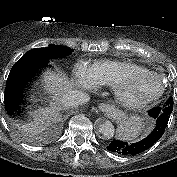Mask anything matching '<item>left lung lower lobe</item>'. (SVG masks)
Listing matches in <instances>:
<instances>
[{
  "mask_svg": "<svg viewBox=\"0 0 177 177\" xmlns=\"http://www.w3.org/2000/svg\"><path fill=\"white\" fill-rule=\"evenodd\" d=\"M172 110L173 108H171V106H160L149 110L148 114L155 119L156 124L152 132L147 137L132 144L120 140H113L108 145L107 149L124 156L137 155L144 152L162 137Z\"/></svg>",
  "mask_w": 177,
  "mask_h": 177,
  "instance_id": "obj_1",
  "label": "left lung lower lobe"
}]
</instances>
